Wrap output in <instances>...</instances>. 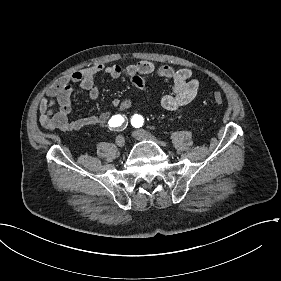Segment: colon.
I'll use <instances>...</instances> for the list:
<instances>
[{
    "mask_svg": "<svg viewBox=\"0 0 281 281\" xmlns=\"http://www.w3.org/2000/svg\"><path fill=\"white\" fill-rule=\"evenodd\" d=\"M212 100L216 104H223L224 103V96L221 93H215L212 97Z\"/></svg>",
    "mask_w": 281,
    "mask_h": 281,
    "instance_id": "obj_1",
    "label": "colon"
}]
</instances>
